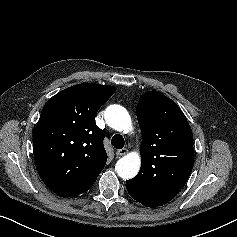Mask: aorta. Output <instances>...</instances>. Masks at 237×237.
Segmentation results:
<instances>
[{"label": "aorta", "mask_w": 237, "mask_h": 237, "mask_svg": "<svg viewBox=\"0 0 237 237\" xmlns=\"http://www.w3.org/2000/svg\"><path fill=\"white\" fill-rule=\"evenodd\" d=\"M105 120L117 131L131 128V118L128 111L121 105H110L105 110ZM141 165L140 155L132 152L119 159L115 165L117 174L123 179H131L137 175Z\"/></svg>", "instance_id": "762f6f07"}]
</instances>
